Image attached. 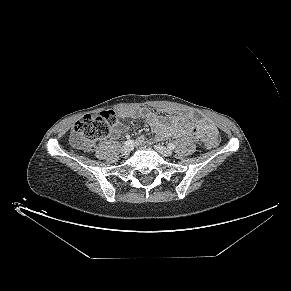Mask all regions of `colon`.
<instances>
[{"mask_svg": "<svg viewBox=\"0 0 291 291\" xmlns=\"http://www.w3.org/2000/svg\"><path fill=\"white\" fill-rule=\"evenodd\" d=\"M122 117L123 114L114 111H105L96 116L85 115L74 124L71 143L85 151H92L98 141L109 135ZM219 141V135L215 132L206 138L205 144L209 148H214Z\"/></svg>", "mask_w": 291, "mask_h": 291, "instance_id": "colon-1", "label": "colon"}]
</instances>
